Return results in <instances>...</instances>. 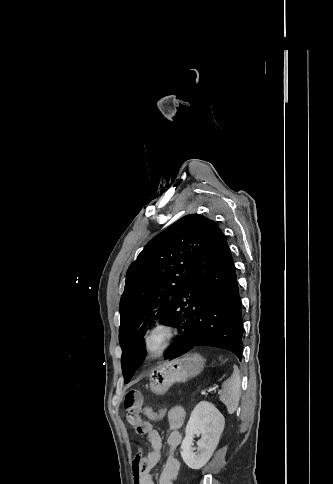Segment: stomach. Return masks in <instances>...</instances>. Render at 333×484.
Segmentation results:
<instances>
[{
  "mask_svg": "<svg viewBox=\"0 0 333 484\" xmlns=\"http://www.w3.org/2000/svg\"><path fill=\"white\" fill-rule=\"evenodd\" d=\"M204 358L198 353H187L155 367L150 374V389L164 395L177 382L197 376L204 367Z\"/></svg>",
  "mask_w": 333,
  "mask_h": 484,
  "instance_id": "0dacf381",
  "label": "stomach"
}]
</instances>
